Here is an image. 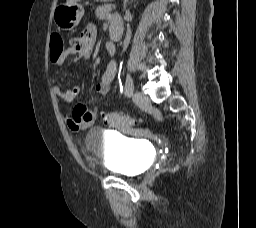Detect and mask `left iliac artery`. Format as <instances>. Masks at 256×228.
Masks as SVG:
<instances>
[{
	"label": "left iliac artery",
	"instance_id": "left-iliac-artery-1",
	"mask_svg": "<svg viewBox=\"0 0 256 228\" xmlns=\"http://www.w3.org/2000/svg\"><path fill=\"white\" fill-rule=\"evenodd\" d=\"M134 83L129 74L126 76L125 86H124V94L130 97L133 94Z\"/></svg>",
	"mask_w": 256,
	"mask_h": 228
}]
</instances>
